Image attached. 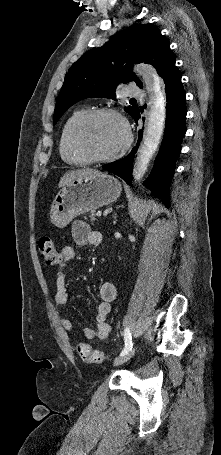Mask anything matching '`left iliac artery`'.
<instances>
[{"label": "left iliac artery", "mask_w": 221, "mask_h": 455, "mask_svg": "<svg viewBox=\"0 0 221 455\" xmlns=\"http://www.w3.org/2000/svg\"><path fill=\"white\" fill-rule=\"evenodd\" d=\"M124 340H125V347L122 350L120 355H124L132 349L133 343H132V336H131L129 328H126L124 330Z\"/></svg>", "instance_id": "left-iliac-artery-1"}]
</instances>
